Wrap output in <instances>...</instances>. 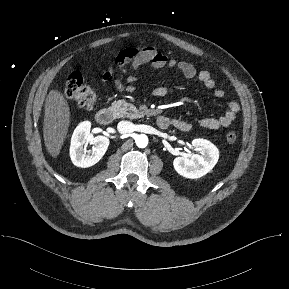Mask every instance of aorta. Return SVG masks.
I'll return each instance as SVG.
<instances>
[{"instance_id": "aorta-1", "label": "aorta", "mask_w": 289, "mask_h": 289, "mask_svg": "<svg viewBox=\"0 0 289 289\" xmlns=\"http://www.w3.org/2000/svg\"><path fill=\"white\" fill-rule=\"evenodd\" d=\"M135 142L139 148H145L148 145V137L145 134H140L136 137Z\"/></svg>"}]
</instances>
